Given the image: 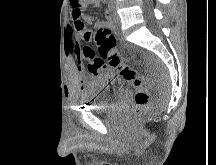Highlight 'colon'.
<instances>
[{"label": "colon", "instance_id": "5ec220e1", "mask_svg": "<svg viewBox=\"0 0 216 165\" xmlns=\"http://www.w3.org/2000/svg\"><path fill=\"white\" fill-rule=\"evenodd\" d=\"M86 0H71L72 6L78 10L85 6ZM97 52L89 46L81 49L83 59L89 61L88 71L97 73L109 67L116 70L119 75L134 88L133 117L144 114L150 103V86L146 78L129 66L122 55L117 51V39L107 27H98L95 32Z\"/></svg>", "mask_w": 216, "mask_h": 165}]
</instances>
